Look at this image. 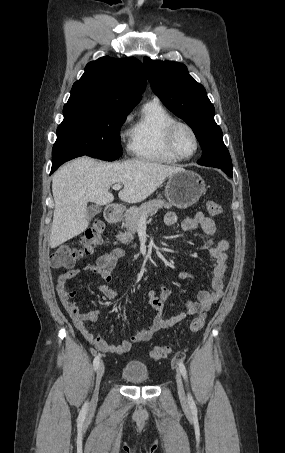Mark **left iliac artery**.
Returning <instances> with one entry per match:
<instances>
[{"label": "left iliac artery", "instance_id": "left-iliac-artery-1", "mask_svg": "<svg viewBox=\"0 0 285 453\" xmlns=\"http://www.w3.org/2000/svg\"><path fill=\"white\" fill-rule=\"evenodd\" d=\"M178 365H179V369H180V372H181L182 376L184 377V379H186L187 378V371H186L185 365L181 361H179ZM188 402H189V405H190L191 409H196L195 402H194V400H193V398H192V396L190 394H188Z\"/></svg>", "mask_w": 285, "mask_h": 453}]
</instances>
